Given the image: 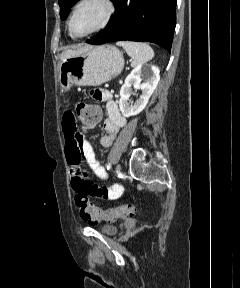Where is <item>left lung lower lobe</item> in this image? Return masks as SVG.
I'll list each match as a JSON object with an SVG mask.
<instances>
[{
	"instance_id": "obj_1",
	"label": "left lung lower lobe",
	"mask_w": 240,
	"mask_h": 288,
	"mask_svg": "<svg viewBox=\"0 0 240 288\" xmlns=\"http://www.w3.org/2000/svg\"><path fill=\"white\" fill-rule=\"evenodd\" d=\"M177 0H113L115 13L89 44L113 41L152 42L171 51Z\"/></svg>"
}]
</instances>
